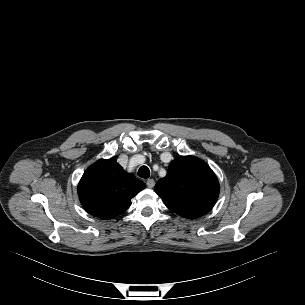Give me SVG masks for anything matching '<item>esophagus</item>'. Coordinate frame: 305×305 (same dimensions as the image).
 <instances>
[{
	"label": "esophagus",
	"mask_w": 305,
	"mask_h": 305,
	"mask_svg": "<svg viewBox=\"0 0 305 305\" xmlns=\"http://www.w3.org/2000/svg\"><path fill=\"white\" fill-rule=\"evenodd\" d=\"M146 184H147V187H148V188H153L154 185H155V181H154V179H148V180L146 181Z\"/></svg>",
	"instance_id": "34e87169"
}]
</instances>
